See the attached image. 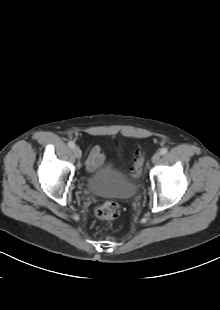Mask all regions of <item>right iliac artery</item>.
Returning a JSON list of instances; mask_svg holds the SVG:
<instances>
[{"mask_svg": "<svg viewBox=\"0 0 220 310\" xmlns=\"http://www.w3.org/2000/svg\"><path fill=\"white\" fill-rule=\"evenodd\" d=\"M68 146H69L70 148H74V147H75V143H74L73 141H69V142H68Z\"/></svg>", "mask_w": 220, "mask_h": 310, "instance_id": "right-iliac-artery-1", "label": "right iliac artery"}]
</instances>
